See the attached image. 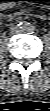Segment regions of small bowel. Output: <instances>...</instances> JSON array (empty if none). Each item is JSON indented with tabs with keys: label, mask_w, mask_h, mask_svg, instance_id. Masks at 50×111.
Listing matches in <instances>:
<instances>
[{
	"label": "small bowel",
	"mask_w": 50,
	"mask_h": 111,
	"mask_svg": "<svg viewBox=\"0 0 50 111\" xmlns=\"http://www.w3.org/2000/svg\"><path fill=\"white\" fill-rule=\"evenodd\" d=\"M26 11L25 10H20V11H18L16 14L17 15H21V14H23V13H25Z\"/></svg>",
	"instance_id": "c3829d8e"
}]
</instances>
